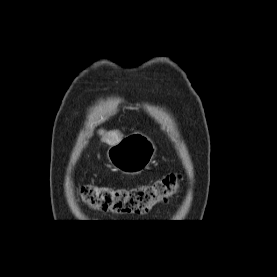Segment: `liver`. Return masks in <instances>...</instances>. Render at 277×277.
<instances>
[{
	"label": "liver",
	"instance_id": "6515ba94",
	"mask_svg": "<svg viewBox=\"0 0 277 277\" xmlns=\"http://www.w3.org/2000/svg\"><path fill=\"white\" fill-rule=\"evenodd\" d=\"M98 133L101 136V141L109 146H114L123 139V134L119 130H112L108 132L105 130H99Z\"/></svg>",
	"mask_w": 277,
	"mask_h": 277
}]
</instances>
